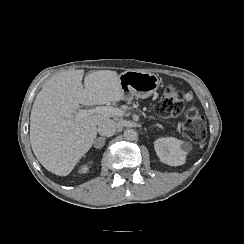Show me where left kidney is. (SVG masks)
Here are the masks:
<instances>
[{
    "instance_id": "5707ae66",
    "label": "left kidney",
    "mask_w": 244,
    "mask_h": 244,
    "mask_svg": "<svg viewBox=\"0 0 244 244\" xmlns=\"http://www.w3.org/2000/svg\"><path fill=\"white\" fill-rule=\"evenodd\" d=\"M154 147L160 161L165 164L178 166L185 161L186 153L182 142L175 138H159L154 142Z\"/></svg>"
}]
</instances>
